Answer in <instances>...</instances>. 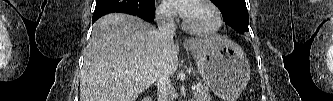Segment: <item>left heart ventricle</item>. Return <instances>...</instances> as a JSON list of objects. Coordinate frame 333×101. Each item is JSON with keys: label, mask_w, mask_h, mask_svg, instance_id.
<instances>
[{"label": "left heart ventricle", "mask_w": 333, "mask_h": 101, "mask_svg": "<svg viewBox=\"0 0 333 101\" xmlns=\"http://www.w3.org/2000/svg\"><path fill=\"white\" fill-rule=\"evenodd\" d=\"M184 17L187 23L197 30H209L216 23L213 11L208 6L198 2L189 3L187 13Z\"/></svg>", "instance_id": "left-heart-ventricle-1"}]
</instances>
